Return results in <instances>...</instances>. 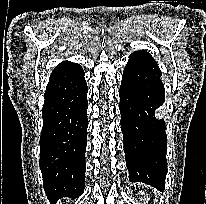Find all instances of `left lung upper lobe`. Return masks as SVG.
I'll return each mask as SVG.
<instances>
[{"mask_svg":"<svg viewBox=\"0 0 206 204\" xmlns=\"http://www.w3.org/2000/svg\"><path fill=\"white\" fill-rule=\"evenodd\" d=\"M152 56L145 51L134 52L130 55L129 59L131 62H135L137 60H149Z\"/></svg>","mask_w":206,"mask_h":204,"instance_id":"1","label":"left lung upper lobe"}]
</instances>
